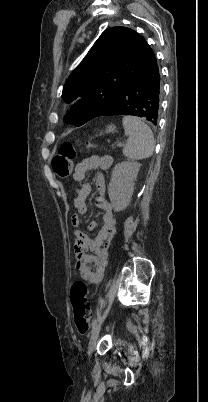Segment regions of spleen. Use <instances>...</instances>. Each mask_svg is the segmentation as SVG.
Instances as JSON below:
<instances>
[{"mask_svg": "<svg viewBox=\"0 0 208 402\" xmlns=\"http://www.w3.org/2000/svg\"><path fill=\"white\" fill-rule=\"evenodd\" d=\"M125 136L128 140L123 148V154L128 160H144L154 152L155 142L152 130L147 124L135 116H125L122 120Z\"/></svg>", "mask_w": 208, "mask_h": 402, "instance_id": "obj_1", "label": "spleen"}]
</instances>
